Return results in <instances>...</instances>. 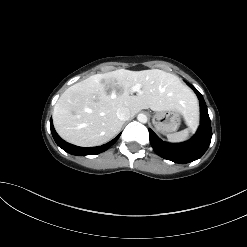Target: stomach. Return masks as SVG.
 I'll return each instance as SVG.
<instances>
[{
  "instance_id": "obj_1",
  "label": "stomach",
  "mask_w": 247,
  "mask_h": 247,
  "mask_svg": "<svg viewBox=\"0 0 247 247\" xmlns=\"http://www.w3.org/2000/svg\"><path fill=\"white\" fill-rule=\"evenodd\" d=\"M153 125L162 134H169L178 130L181 124L180 113L176 110H167L155 113Z\"/></svg>"
}]
</instances>
